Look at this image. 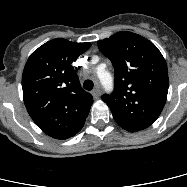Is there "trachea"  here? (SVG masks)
<instances>
[{"instance_id": "trachea-1", "label": "trachea", "mask_w": 187, "mask_h": 187, "mask_svg": "<svg viewBox=\"0 0 187 187\" xmlns=\"http://www.w3.org/2000/svg\"><path fill=\"white\" fill-rule=\"evenodd\" d=\"M94 83L92 80H86L83 84L84 89L90 91L93 89Z\"/></svg>"}]
</instances>
